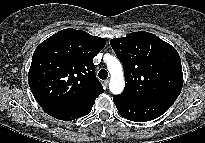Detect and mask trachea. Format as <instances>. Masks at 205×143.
<instances>
[{
	"label": "trachea",
	"instance_id": "3493384b",
	"mask_svg": "<svg viewBox=\"0 0 205 143\" xmlns=\"http://www.w3.org/2000/svg\"><path fill=\"white\" fill-rule=\"evenodd\" d=\"M99 78L104 80V79H107L108 77V72L105 70V69H102L99 71V74H98Z\"/></svg>",
	"mask_w": 205,
	"mask_h": 143
}]
</instances>
